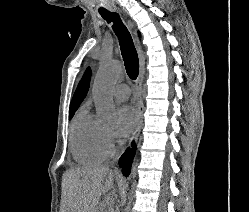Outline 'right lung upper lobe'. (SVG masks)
Returning <instances> with one entry per match:
<instances>
[{
  "instance_id": "right-lung-upper-lobe-1",
  "label": "right lung upper lobe",
  "mask_w": 249,
  "mask_h": 212,
  "mask_svg": "<svg viewBox=\"0 0 249 212\" xmlns=\"http://www.w3.org/2000/svg\"><path fill=\"white\" fill-rule=\"evenodd\" d=\"M91 69L88 68L85 72L79 87L77 88L70 105V111H76L87 95L90 85Z\"/></svg>"
}]
</instances>
